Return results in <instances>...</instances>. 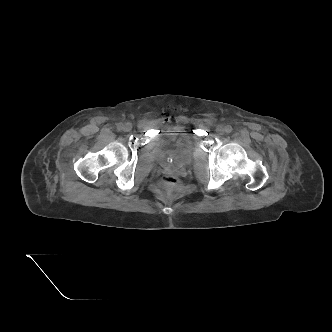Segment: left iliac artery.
Instances as JSON below:
<instances>
[{"label": "left iliac artery", "instance_id": "44dca946", "mask_svg": "<svg viewBox=\"0 0 332 332\" xmlns=\"http://www.w3.org/2000/svg\"><path fill=\"white\" fill-rule=\"evenodd\" d=\"M225 130H226L227 133H230V132H232L233 129H232V127L230 125H227L225 127Z\"/></svg>", "mask_w": 332, "mask_h": 332}]
</instances>
